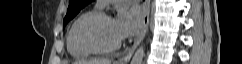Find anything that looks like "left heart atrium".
<instances>
[{
  "instance_id": "obj_1",
  "label": "left heart atrium",
  "mask_w": 242,
  "mask_h": 64,
  "mask_svg": "<svg viewBox=\"0 0 242 64\" xmlns=\"http://www.w3.org/2000/svg\"><path fill=\"white\" fill-rule=\"evenodd\" d=\"M141 27V14L136 9H122L114 20L115 32L120 40L134 36Z\"/></svg>"
}]
</instances>
